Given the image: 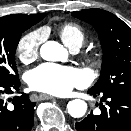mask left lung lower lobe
Wrapping results in <instances>:
<instances>
[{
	"label": "left lung lower lobe",
	"mask_w": 131,
	"mask_h": 131,
	"mask_svg": "<svg viewBox=\"0 0 131 131\" xmlns=\"http://www.w3.org/2000/svg\"><path fill=\"white\" fill-rule=\"evenodd\" d=\"M88 93L96 97L101 95L98 115L93 111L82 121L75 124L77 131H131V94L119 92Z\"/></svg>",
	"instance_id": "obj_1"
}]
</instances>
